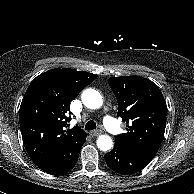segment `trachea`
Instances as JSON below:
<instances>
[{
	"label": "trachea",
	"mask_w": 194,
	"mask_h": 194,
	"mask_svg": "<svg viewBox=\"0 0 194 194\" xmlns=\"http://www.w3.org/2000/svg\"><path fill=\"white\" fill-rule=\"evenodd\" d=\"M97 125L96 122L93 120H89L85 125V130H94L96 129Z\"/></svg>",
	"instance_id": "trachea-1"
}]
</instances>
